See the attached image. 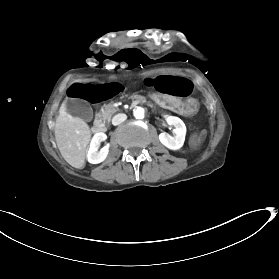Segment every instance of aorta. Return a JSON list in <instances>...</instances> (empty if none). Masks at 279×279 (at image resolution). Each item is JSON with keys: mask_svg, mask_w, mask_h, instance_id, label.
<instances>
[{"mask_svg": "<svg viewBox=\"0 0 279 279\" xmlns=\"http://www.w3.org/2000/svg\"><path fill=\"white\" fill-rule=\"evenodd\" d=\"M144 112H145V111H144L143 108L138 107V108L134 109L133 115H134V117L137 118V119H143V118H144Z\"/></svg>", "mask_w": 279, "mask_h": 279, "instance_id": "1", "label": "aorta"}]
</instances>
